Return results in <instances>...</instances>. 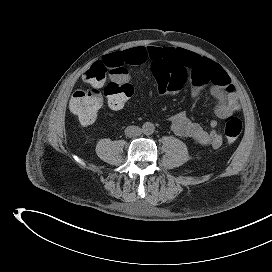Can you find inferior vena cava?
I'll return each mask as SVG.
<instances>
[{
  "label": "inferior vena cava",
  "instance_id": "1",
  "mask_svg": "<svg viewBox=\"0 0 272 272\" xmlns=\"http://www.w3.org/2000/svg\"><path fill=\"white\" fill-rule=\"evenodd\" d=\"M142 133V129L138 126H128L125 129V135L128 137H137L140 136Z\"/></svg>",
  "mask_w": 272,
  "mask_h": 272
}]
</instances>
